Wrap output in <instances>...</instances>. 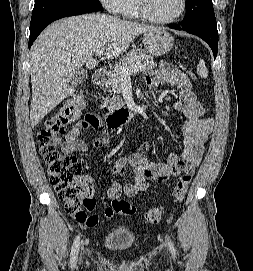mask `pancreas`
I'll use <instances>...</instances> for the list:
<instances>
[{
    "mask_svg": "<svg viewBox=\"0 0 253 271\" xmlns=\"http://www.w3.org/2000/svg\"><path fill=\"white\" fill-rule=\"evenodd\" d=\"M138 64L143 65V69L141 71L150 70L157 66L152 56L141 49H133L123 56L119 63L115 65L114 71L110 73L106 82V87L109 89L108 91L112 93V97L107 96L103 98V107L113 110L123 105L122 99H120L119 96H115V94L121 93L123 84L121 69Z\"/></svg>",
    "mask_w": 253,
    "mask_h": 271,
    "instance_id": "cf45deb5",
    "label": "pancreas"
}]
</instances>
